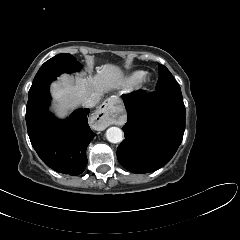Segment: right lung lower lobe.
I'll list each match as a JSON object with an SVG mask.
<instances>
[{
	"label": "right lung lower lobe",
	"instance_id": "98d812e1",
	"mask_svg": "<svg viewBox=\"0 0 240 240\" xmlns=\"http://www.w3.org/2000/svg\"><path fill=\"white\" fill-rule=\"evenodd\" d=\"M48 80L29 93L26 123L32 146L51 169L77 176L86 165V148L96 135L88 126L89 109H78L64 121L47 109L50 103Z\"/></svg>",
	"mask_w": 240,
	"mask_h": 240
}]
</instances>
